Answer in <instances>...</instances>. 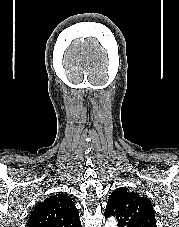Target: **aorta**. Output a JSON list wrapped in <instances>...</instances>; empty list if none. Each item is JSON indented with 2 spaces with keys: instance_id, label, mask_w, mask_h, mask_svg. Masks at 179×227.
<instances>
[{
  "instance_id": "762f6f07",
  "label": "aorta",
  "mask_w": 179,
  "mask_h": 227,
  "mask_svg": "<svg viewBox=\"0 0 179 227\" xmlns=\"http://www.w3.org/2000/svg\"><path fill=\"white\" fill-rule=\"evenodd\" d=\"M105 227H117L116 219L113 217L109 218L105 223Z\"/></svg>"
}]
</instances>
